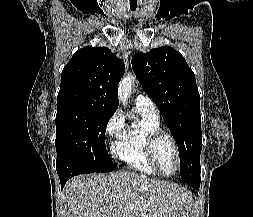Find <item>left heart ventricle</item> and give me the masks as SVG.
Here are the masks:
<instances>
[{"instance_id":"obj_1","label":"left heart ventricle","mask_w":253,"mask_h":217,"mask_svg":"<svg viewBox=\"0 0 253 217\" xmlns=\"http://www.w3.org/2000/svg\"><path fill=\"white\" fill-rule=\"evenodd\" d=\"M156 156L162 171L171 174L176 169V156L172 144L166 138L161 139L156 146Z\"/></svg>"}]
</instances>
